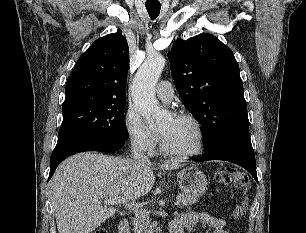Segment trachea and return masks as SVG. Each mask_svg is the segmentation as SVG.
<instances>
[{
    "label": "trachea",
    "instance_id": "3493384b",
    "mask_svg": "<svg viewBox=\"0 0 306 233\" xmlns=\"http://www.w3.org/2000/svg\"><path fill=\"white\" fill-rule=\"evenodd\" d=\"M145 6L151 19H155L158 17L161 9L160 4H145Z\"/></svg>",
    "mask_w": 306,
    "mask_h": 233
}]
</instances>
